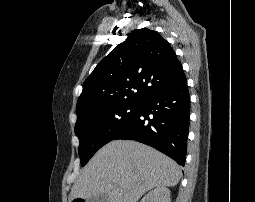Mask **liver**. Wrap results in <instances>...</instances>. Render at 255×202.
<instances>
[{"mask_svg":"<svg viewBox=\"0 0 255 202\" xmlns=\"http://www.w3.org/2000/svg\"><path fill=\"white\" fill-rule=\"evenodd\" d=\"M180 178V167L166 155L136 141L114 140L84 167L71 199L105 194L108 202H137L155 187L177 185Z\"/></svg>","mask_w":255,"mask_h":202,"instance_id":"obj_1","label":"liver"}]
</instances>
